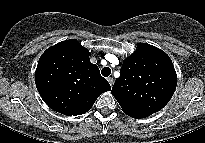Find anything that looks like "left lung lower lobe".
Returning a JSON list of instances; mask_svg holds the SVG:
<instances>
[{"label":"left lung lower lobe","instance_id":"left-lung-lower-lobe-1","mask_svg":"<svg viewBox=\"0 0 205 143\" xmlns=\"http://www.w3.org/2000/svg\"><path fill=\"white\" fill-rule=\"evenodd\" d=\"M144 117H147V116H142V117H133V118H137V119H139V118H144Z\"/></svg>","mask_w":205,"mask_h":143}]
</instances>
